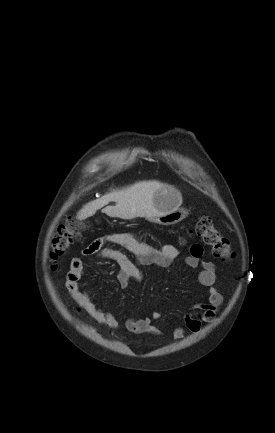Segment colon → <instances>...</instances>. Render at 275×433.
<instances>
[{
    "instance_id": "5ec220e1",
    "label": "colon",
    "mask_w": 275,
    "mask_h": 433,
    "mask_svg": "<svg viewBox=\"0 0 275 433\" xmlns=\"http://www.w3.org/2000/svg\"><path fill=\"white\" fill-rule=\"evenodd\" d=\"M194 232L211 247L214 256L226 259L232 255L227 238L222 236L213 224L212 218L203 216L195 224ZM77 227L74 220H68L59 226L53 235L50 257L57 260L64 255L74 242Z\"/></svg>"
}]
</instances>
